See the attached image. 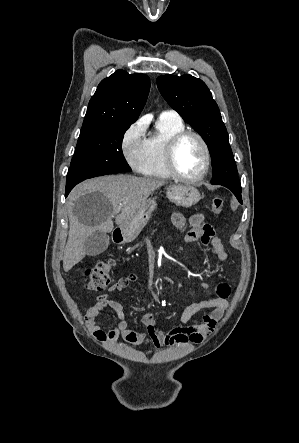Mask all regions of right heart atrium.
I'll list each match as a JSON object with an SVG mask.
<instances>
[{
    "mask_svg": "<svg viewBox=\"0 0 299 443\" xmlns=\"http://www.w3.org/2000/svg\"><path fill=\"white\" fill-rule=\"evenodd\" d=\"M146 125L142 120L130 124L124 131L120 146L126 161L135 171H140L145 158Z\"/></svg>",
    "mask_w": 299,
    "mask_h": 443,
    "instance_id": "right-heart-atrium-1",
    "label": "right heart atrium"
}]
</instances>
